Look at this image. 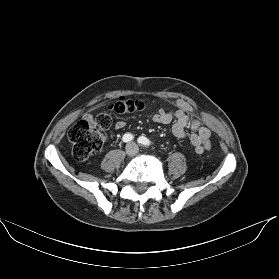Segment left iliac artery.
Returning a JSON list of instances; mask_svg holds the SVG:
<instances>
[{
  "label": "left iliac artery",
  "mask_w": 279,
  "mask_h": 279,
  "mask_svg": "<svg viewBox=\"0 0 279 279\" xmlns=\"http://www.w3.org/2000/svg\"><path fill=\"white\" fill-rule=\"evenodd\" d=\"M138 142L145 145V146H149L150 145V141L144 137V136H141L138 138Z\"/></svg>",
  "instance_id": "obj_1"
}]
</instances>
